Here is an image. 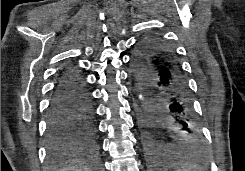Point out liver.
<instances>
[{"mask_svg":"<svg viewBox=\"0 0 245 171\" xmlns=\"http://www.w3.org/2000/svg\"><path fill=\"white\" fill-rule=\"evenodd\" d=\"M61 171H89V170L86 168L77 167V166H67L63 168Z\"/></svg>","mask_w":245,"mask_h":171,"instance_id":"liver-1","label":"liver"}]
</instances>
